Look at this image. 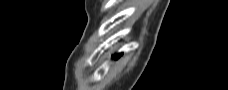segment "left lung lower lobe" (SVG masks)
<instances>
[{
  "instance_id": "obj_1",
  "label": "left lung lower lobe",
  "mask_w": 228,
  "mask_h": 90,
  "mask_svg": "<svg viewBox=\"0 0 228 90\" xmlns=\"http://www.w3.org/2000/svg\"><path fill=\"white\" fill-rule=\"evenodd\" d=\"M121 55H122V53L117 54V55H114V56H113V59L117 60Z\"/></svg>"
}]
</instances>
